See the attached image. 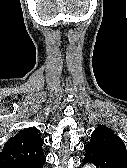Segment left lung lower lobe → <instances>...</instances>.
<instances>
[{
    "instance_id": "0a47b994",
    "label": "left lung lower lobe",
    "mask_w": 127,
    "mask_h": 168,
    "mask_svg": "<svg viewBox=\"0 0 127 168\" xmlns=\"http://www.w3.org/2000/svg\"><path fill=\"white\" fill-rule=\"evenodd\" d=\"M83 163H93L96 168H127L114 147L104 141L93 140L85 147Z\"/></svg>"
}]
</instances>
